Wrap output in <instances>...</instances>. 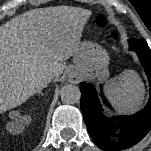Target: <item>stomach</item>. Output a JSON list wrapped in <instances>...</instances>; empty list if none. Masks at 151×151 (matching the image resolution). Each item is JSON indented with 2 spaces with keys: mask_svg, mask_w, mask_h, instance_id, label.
<instances>
[{
  "mask_svg": "<svg viewBox=\"0 0 151 151\" xmlns=\"http://www.w3.org/2000/svg\"><path fill=\"white\" fill-rule=\"evenodd\" d=\"M75 76H87L96 78L98 81H105L109 76V56L106 50L98 44L83 42L74 57Z\"/></svg>",
  "mask_w": 151,
  "mask_h": 151,
  "instance_id": "obj_1",
  "label": "stomach"
}]
</instances>
